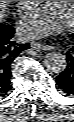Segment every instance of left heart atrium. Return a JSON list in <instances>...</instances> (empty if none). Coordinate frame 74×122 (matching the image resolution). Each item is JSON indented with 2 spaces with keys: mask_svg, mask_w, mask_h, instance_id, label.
<instances>
[{
  "mask_svg": "<svg viewBox=\"0 0 74 122\" xmlns=\"http://www.w3.org/2000/svg\"><path fill=\"white\" fill-rule=\"evenodd\" d=\"M66 21L49 5H43L30 13L20 24L21 34L27 37H43L60 32Z\"/></svg>",
  "mask_w": 74,
  "mask_h": 122,
  "instance_id": "39dd6f15",
  "label": "left heart atrium"
}]
</instances>
